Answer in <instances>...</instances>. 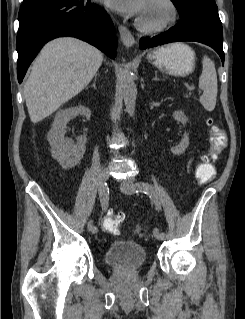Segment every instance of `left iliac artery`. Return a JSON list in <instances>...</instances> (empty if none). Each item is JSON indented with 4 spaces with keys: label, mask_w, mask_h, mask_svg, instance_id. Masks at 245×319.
<instances>
[{
    "label": "left iliac artery",
    "mask_w": 245,
    "mask_h": 319,
    "mask_svg": "<svg viewBox=\"0 0 245 319\" xmlns=\"http://www.w3.org/2000/svg\"><path fill=\"white\" fill-rule=\"evenodd\" d=\"M132 190H135L136 192H143L147 195H149V197H154L155 196V192H154V189L153 187L148 184V183H145V182H137L136 184H134L132 187H131ZM159 234L165 238L166 237V233L165 232H159Z\"/></svg>",
    "instance_id": "44dca946"
}]
</instances>
